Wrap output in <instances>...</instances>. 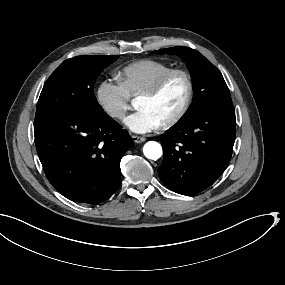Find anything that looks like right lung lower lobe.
I'll return each mask as SVG.
<instances>
[{
    "mask_svg": "<svg viewBox=\"0 0 285 285\" xmlns=\"http://www.w3.org/2000/svg\"><path fill=\"white\" fill-rule=\"evenodd\" d=\"M34 136L49 182L66 198L95 205L119 188L120 160L133 142L105 113L57 111L35 119Z\"/></svg>",
    "mask_w": 285,
    "mask_h": 285,
    "instance_id": "obj_1",
    "label": "right lung lower lobe"
}]
</instances>
